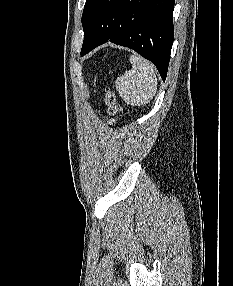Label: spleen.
Segmentation results:
<instances>
[{"label":"spleen","instance_id":"spleen-1","mask_svg":"<svg viewBox=\"0 0 233 286\" xmlns=\"http://www.w3.org/2000/svg\"><path fill=\"white\" fill-rule=\"evenodd\" d=\"M129 61L132 68L116 79V90L128 105H145L157 91L155 67L138 55H130Z\"/></svg>","mask_w":233,"mask_h":286}]
</instances>
